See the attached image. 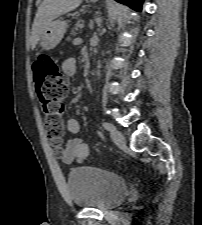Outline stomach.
Instances as JSON below:
<instances>
[{
    "label": "stomach",
    "mask_w": 202,
    "mask_h": 225,
    "mask_svg": "<svg viewBox=\"0 0 202 225\" xmlns=\"http://www.w3.org/2000/svg\"><path fill=\"white\" fill-rule=\"evenodd\" d=\"M96 2L97 0H91ZM68 28L67 21L56 20L43 31L41 35L40 45L43 50L54 49L63 39Z\"/></svg>",
    "instance_id": "stomach-1"
}]
</instances>
